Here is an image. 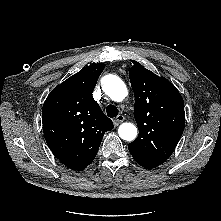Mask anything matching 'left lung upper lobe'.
<instances>
[{"label": "left lung upper lobe", "mask_w": 221, "mask_h": 221, "mask_svg": "<svg viewBox=\"0 0 221 221\" xmlns=\"http://www.w3.org/2000/svg\"><path fill=\"white\" fill-rule=\"evenodd\" d=\"M131 61L129 78L135 95L134 117L139 135L128 148L139 165L152 169L172 154L181 138L185 126L184 102L166 78Z\"/></svg>", "instance_id": "1"}]
</instances>
